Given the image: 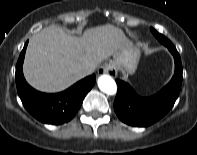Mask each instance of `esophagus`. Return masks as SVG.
I'll list each match as a JSON object with an SVG mask.
<instances>
[{
	"mask_svg": "<svg viewBox=\"0 0 197 155\" xmlns=\"http://www.w3.org/2000/svg\"><path fill=\"white\" fill-rule=\"evenodd\" d=\"M100 73L116 76L117 68L115 63L114 62L105 63L104 66L101 68Z\"/></svg>",
	"mask_w": 197,
	"mask_h": 155,
	"instance_id": "obj_1",
	"label": "esophagus"
}]
</instances>
